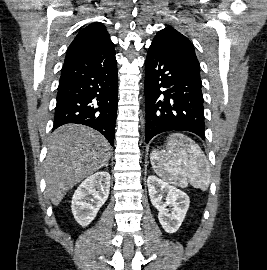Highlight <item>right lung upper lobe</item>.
Returning a JSON list of instances; mask_svg holds the SVG:
<instances>
[{"label": "right lung upper lobe", "instance_id": "cb5924a9", "mask_svg": "<svg viewBox=\"0 0 267 270\" xmlns=\"http://www.w3.org/2000/svg\"><path fill=\"white\" fill-rule=\"evenodd\" d=\"M113 45L106 28L99 22L82 29L70 44L65 61L72 60Z\"/></svg>", "mask_w": 267, "mask_h": 270}]
</instances>
